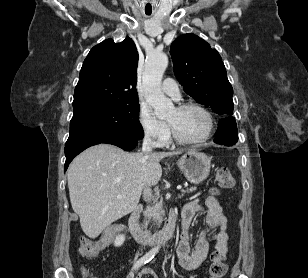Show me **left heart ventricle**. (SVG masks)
Returning <instances> with one entry per match:
<instances>
[{
  "instance_id": "left-heart-ventricle-1",
  "label": "left heart ventricle",
  "mask_w": 308,
  "mask_h": 278,
  "mask_svg": "<svg viewBox=\"0 0 308 278\" xmlns=\"http://www.w3.org/2000/svg\"><path fill=\"white\" fill-rule=\"evenodd\" d=\"M166 120L179 134L191 139L202 137L208 128L206 116L194 108L184 110L173 108L168 113Z\"/></svg>"
}]
</instances>
